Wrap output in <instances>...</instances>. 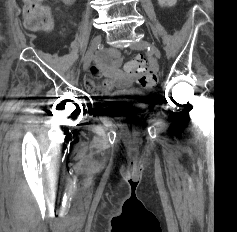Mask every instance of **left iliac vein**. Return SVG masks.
Returning a JSON list of instances; mask_svg holds the SVG:
<instances>
[{
    "label": "left iliac vein",
    "mask_w": 237,
    "mask_h": 232,
    "mask_svg": "<svg viewBox=\"0 0 237 232\" xmlns=\"http://www.w3.org/2000/svg\"><path fill=\"white\" fill-rule=\"evenodd\" d=\"M145 48H149L151 53L157 58L160 59L161 58V52L160 50L152 43L147 42V41H139V42H135L131 45V49L134 50H143Z\"/></svg>",
    "instance_id": "left-iliac-vein-1"
}]
</instances>
